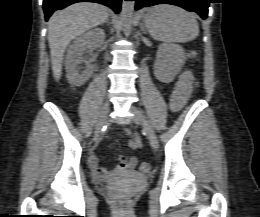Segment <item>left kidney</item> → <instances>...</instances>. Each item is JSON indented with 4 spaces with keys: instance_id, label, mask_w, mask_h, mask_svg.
I'll list each match as a JSON object with an SVG mask.
<instances>
[{
    "instance_id": "5707ae66",
    "label": "left kidney",
    "mask_w": 260,
    "mask_h": 217,
    "mask_svg": "<svg viewBox=\"0 0 260 217\" xmlns=\"http://www.w3.org/2000/svg\"><path fill=\"white\" fill-rule=\"evenodd\" d=\"M185 61L186 54L180 45L161 44L154 64V74L159 81L169 83L181 71Z\"/></svg>"
}]
</instances>
